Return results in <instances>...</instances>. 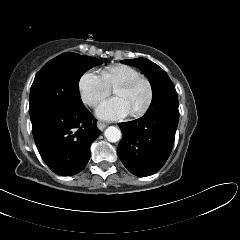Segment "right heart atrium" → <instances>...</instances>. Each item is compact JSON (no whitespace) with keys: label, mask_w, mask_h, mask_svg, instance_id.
I'll return each mask as SVG.
<instances>
[{"label":"right heart atrium","mask_w":240,"mask_h":240,"mask_svg":"<svg viewBox=\"0 0 240 240\" xmlns=\"http://www.w3.org/2000/svg\"><path fill=\"white\" fill-rule=\"evenodd\" d=\"M78 91L84 104L95 107L110 94L111 88L103 80L101 75L88 71L79 78Z\"/></svg>","instance_id":"obj_1"}]
</instances>
